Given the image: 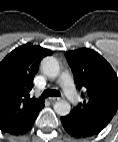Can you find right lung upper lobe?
Returning a JSON list of instances; mask_svg holds the SVG:
<instances>
[{
	"mask_svg": "<svg viewBox=\"0 0 118 142\" xmlns=\"http://www.w3.org/2000/svg\"><path fill=\"white\" fill-rule=\"evenodd\" d=\"M50 51L31 44L13 50L0 63V128L17 134L35 120L43 101L29 98L38 64Z\"/></svg>",
	"mask_w": 118,
	"mask_h": 142,
	"instance_id": "cb5924a9",
	"label": "right lung upper lobe"
}]
</instances>
